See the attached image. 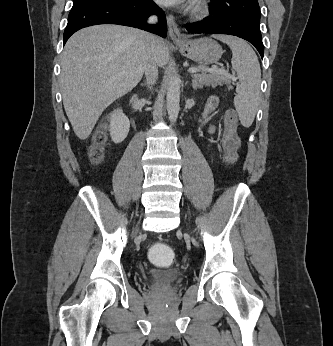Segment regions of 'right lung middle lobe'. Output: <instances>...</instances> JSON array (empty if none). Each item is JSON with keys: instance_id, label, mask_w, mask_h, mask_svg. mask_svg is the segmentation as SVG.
I'll return each instance as SVG.
<instances>
[{"instance_id": "right-lung-middle-lobe-1", "label": "right lung middle lobe", "mask_w": 333, "mask_h": 346, "mask_svg": "<svg viewBox=\"0 0 333 346\" xmlns=\"http://www.w3.org/2000/svg\"><path fill=\"white\" fill-rule=\"evenodd\" d=\"M87 1H92V0H73V6L87 2ZM119 1H128V0H119Z\"/></svg>"}]
</instances>
